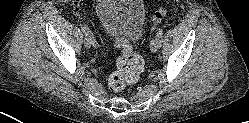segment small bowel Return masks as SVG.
<instances>
[{
  "instance_id": "small-bowel-1",
  "label": "small bowel",
  "mask_w": 249,
  "mask_h": 123,
  "mask_svg": "<svg viewBox=\"0 0 249 123\" xmlns=\"http://www.w3.org/2000/svg\"><path fill=\"white\" fill-rule=\"evenodd\" d=\"M81 8H80V4H79V0H77L74 3V7H73V13L75 16H78L80 14Z\"/></svg>"
}]
</instances>
